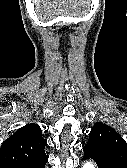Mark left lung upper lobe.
<instances>
[{
	"label": "left lung upper lobe",
	"instance_id": "1",
	"mask_svg": "<svg viewBox=\"0 0 127 168\" xmlns=\"http://www.w3.org/2000/svg\"><path fill=\"white\" fill-rule=\"evenodd\" d=\"M89 143H101L109 147L127 168V143L112 127L101 122L95 123L89 133Z\"/></svg>",
	"mask_w": 127,
	"mask_h": 168
}]
</instances>
